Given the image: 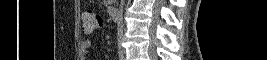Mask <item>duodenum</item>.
<instances>
[{
	"label": "duodenum",
	"instance_id": "duodenum-1",
	"mask_svg": "<svg viewBox=\"0 0 267 60\" xmlns=\"http://www.w3.org/2000/svg\"><path fill=\"white\" fill-rule=\"evenodd\" d=\"M119 14V9L117 6H110L109 7V15L112 19H116Z\"/></svg>",
	"mask_w": 267,
	"mask_h": 60
}]
</instances>
